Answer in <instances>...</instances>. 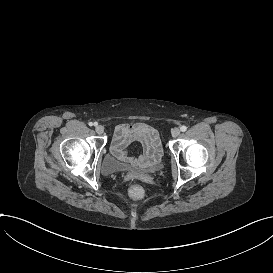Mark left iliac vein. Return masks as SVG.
<instances>
[{
	"mask_svg": "<svg viewBox=\"0 0 273 273\" xmlns=\"http://www.w3.org/2000/svg\"><path fill=\"white\" fill-rule=\"evenodd\" d=\"M171 133H172V136L176 138L180 135V130L179 128H174Z\"/></svg>",
	"mask_w": 273,
	"mask_h": 273,
	"instance_id": "obj_1",
	"label": "left iliac vein"
}]
</instances>
